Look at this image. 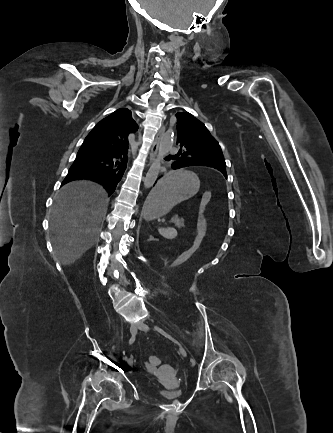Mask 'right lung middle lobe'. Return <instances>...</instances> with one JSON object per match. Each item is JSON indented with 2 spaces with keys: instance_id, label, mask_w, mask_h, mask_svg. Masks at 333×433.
<instances>
[{
  "instance_id": "right-lung-middle-lobe-1",
  "label": "right lung middle lobe",
  "mask_w": 333,
  "mask_h": 433,
  "mask_svg": "<svg viewBox=\"0 0 333 433\" xmlns=\"http://www.w3.org/2000/svg\"><path fill=\"white\" fill-rule=\"evenodd\" d=\"M83 151H90V150H88V149H87V150H84V148L81 147L80 150H79V152H83Z\"/></svg>"
}]
</instances>
